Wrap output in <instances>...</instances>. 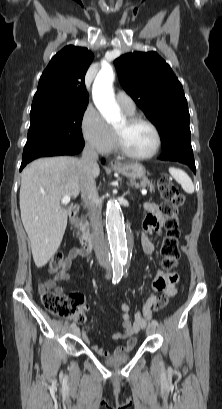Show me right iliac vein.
I'll list each match as a JSON object with an SVG mask.
<instances>
[{"instance_id":"right-iliac-vein-1","label":"right iliac vein","mask_w":222,"mask_h":409,"mask_svg":"<svg viewBox=\"0 0 222 409\" xmlns=\"http://www.w3.org/2000/svg\"><path fill=\"white\" fill-rule=\"evenodd\" d=\"M73 333H74V335L79 336L80 335V329L78 327L73 328Z\"/></svg>"}]
</instances>
